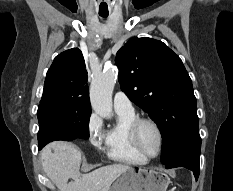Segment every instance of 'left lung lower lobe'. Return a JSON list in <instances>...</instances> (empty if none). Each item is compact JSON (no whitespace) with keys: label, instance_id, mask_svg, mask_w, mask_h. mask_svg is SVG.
<instances>
[{"label":"left lung lower lobe","instance_id":"1","mask_svg":"<svg viewBox=\"0 0 233 191\" xmlns=\"http://www.w3.org/2000/svg\"><path fill=\"white\" fill-rule=\"evenodd\" d=\"M200 148L192 147L179 153L165 166L166 168L185 167L193 171L195 179L200 173Z\"/></svg>","mask_w":233,"mask_h":191}]
</instances>
